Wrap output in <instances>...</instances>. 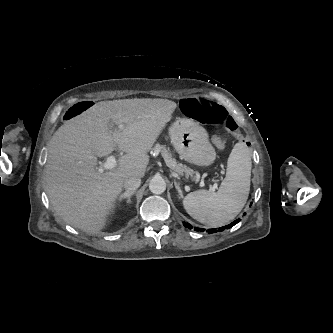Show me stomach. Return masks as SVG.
Listing matches in <instances>:
<instances>
[{"instance_id":"0dacf381","label":"stomach","mask_w":333,"mask_h":333,"mask_svg":"<svg viewBox=\"0 0 333 333\" xmlns=\"http://www.w3.org/2000/svg\"><path fill=\"white\" fill-rule=\"evenodd\" d=\"M171 142L180 157L199 166H210L216 159L207 131L191 118H178L169 128Z\"/></svg>"}]
</instances>
